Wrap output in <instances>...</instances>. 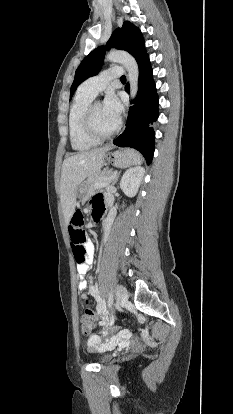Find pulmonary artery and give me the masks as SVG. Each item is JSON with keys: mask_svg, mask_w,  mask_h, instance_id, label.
Listing matches in <instances>:
<instances>
[{"mask_svg": "<svg viewBox=\"0 0 233 414\" xmlns=\"http://www.w3.org/2000/svg\"><path fill=\"white\" fill-rule=\"evenodd\" d=\"M123 70L120 67H111L84 81L80 89L93 98L101 92L111 80L121 77Z\"/></svg>", "mask_w": 233, "mask_h": 414, "instance_id": "pulmonary-artery-1", "label": "pulmonary artery"}]
</instances>
